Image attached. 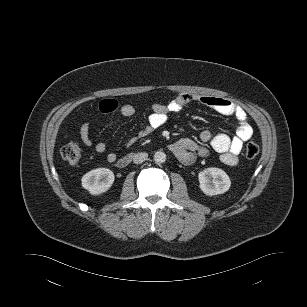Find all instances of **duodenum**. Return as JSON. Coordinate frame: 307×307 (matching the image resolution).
<instances>
[{
	"mask_svg": "<svg viewBox=\"0 0 307 307\" xmlns=\"http://www.w3.org/2000/svg\"><path fill=\"white\" fill-rule=\"evenodd\" d=\"M131 159H132L131 154L125 155L124 157H122L121 159L118 160L117 165L119 167H125L130 163Z\"/></svg>",
	"mask_w": 307,
	"mask_h": 307,
	"instance_id": "1",
	"label": "duodenum"
}]
</instances>
